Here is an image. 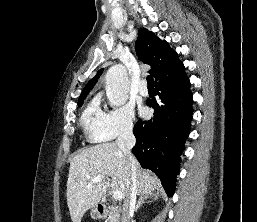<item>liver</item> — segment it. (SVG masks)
<instances>
[{
	"mask_svg": "<svg viewBox=\"0 0 257 222\" xmlns=\"http://www.w3.org/2000/svg\"><path fill=\"white\" fill-rule=\"evenodd\" d=\"M136 171V190L139 195L148 197L158 189V181L140 169L137 161ZM95 177L103 180L92 183ZM109 187L121 191L124 200L130 194L131 175L127 160L115 143H101L75 155L70 163L66 191L72 221L81 222L85 212L100 202Z\"/></svg>",
	"mask_w": 257,
	"mask_h": 222,
	"instance_id": "1",
	"label": "liver"
}]
</instances>
